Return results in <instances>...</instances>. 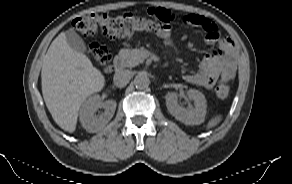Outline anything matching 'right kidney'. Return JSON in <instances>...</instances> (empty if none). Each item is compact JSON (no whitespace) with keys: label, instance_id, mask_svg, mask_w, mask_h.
<instances>
[{"label":"right kidney","instance_id":"obj_1","mask_svg":"<svg viewBox=\"0 0 292 184\" xmlns=\"http://www.w3.org/2000/svg\"><path fill=\"white\" fill-rule=\"evenodd\" d=\"M116 101L107 100L101 101L99 95L90 96L80 109V122L86 131L96 133L100 131L113 117L116 110ZM103 107L104 113L96 116L95 112L98 108Z\"/></svg>","mask_w":292,"mask_h":184}]
</instances>
